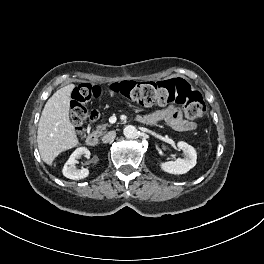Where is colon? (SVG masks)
Instances as JSON below:
<instances>
[{
  "instance_id": "5ec220e1",
  "label": "colon",
  "mask_w": 264,
  "mask_h": 264,
  "mask_svg": "<svg viewBox=\"0 0 264 264\" xmlns=\"http://www.w3.org/2000/svg\"><path fill=\"white\" fill-rule=\"evenodd\" d=\"M109 91L141 106L179 104L190 119L199 118L206 111L202 94L181 78L159 82L120 81L111 84ZM101 95L102 89L98 86L82 84L74 89L71 118L79 131L83 129V125L89 118L95 117L90 114L87 108L88 103Z\"/></svg>"
}]
</instances>
